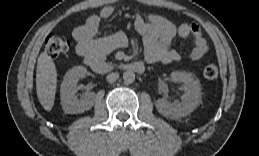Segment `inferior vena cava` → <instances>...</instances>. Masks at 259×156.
<instances>
[{
  "label": "inferior vena cava",
  "instance_id": "1",
  "mask_svg": "<svg viewBox=\"0 0 259 156\" xmlns=\"http://www.w3.org/2000/svg\"><path fill=\"white\" fill-rule=\"evenodd\" d=\"M119 78V74L117 72H112L107 75L106 79L109 83H114Z\"/></svg>",
  "mask_w": 259,
  "mask_h": 156
}]
</instances>
